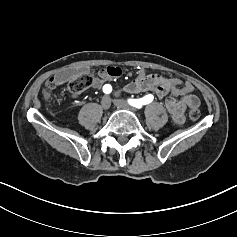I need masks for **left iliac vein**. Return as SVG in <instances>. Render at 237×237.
I'll use <instances>...</instances> for the list:
<instances>
[{
    "label": "left iliac vein",
    "mask_w": 237,
    "mask_h": 237,
    "mask_svg": "<svg viewBox=\"0 0 237 237\" xmlns=\"http://www.w3.org/2000/svg\"><path fill=\"white\" fill-rule=\"evenodd\" d=\"M113 104L119 109H126V110H129L132 112L136 111V109L134 107L130 106L128 103H126L125 101L120 100V99H114Z\"/></svg>",
    "instance_id": "4c4485c4"
}]
</instances>
